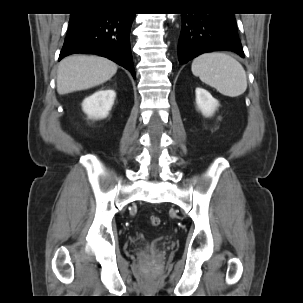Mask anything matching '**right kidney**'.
Returning <instances> with one entry per match:
<instances>
[{
  "label": "right kidney",
  "mask_w": 303,
  "mask_h": 303,
  "mask_svg": "<svg viewBox=\"0 0 303 303\" xmlns=\"http://www.w3.org/2000/svg\"><path fill=\"white\" fill-rule=\"evenodd\" d=\"M116 93L112 89H101L84 99L83 111L89 118L103 119L109 114L114 103Z\"/></svg>",
  "instance_id": "right-kidney-1"
}]
</instances>
